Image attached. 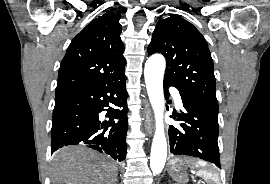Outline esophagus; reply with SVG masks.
Masks as SVG:
<instances>
[{"label":"esophagus","instance_id":"34e87169","mask_svg":"<svg viewBox=\"0 0 270 184\" xmlns=\"http://www.w3.org/2000/svg\"><path fill=\"white\" fill-rule=\"evenodd\" d=\"M144 127L148 135H152L153 132V117L152 111L148 104H145L144 111Z\"/></svg>","mask_w":270,"mask_h":184}]
</instances>
